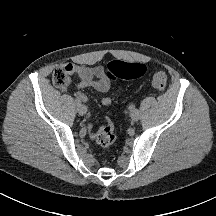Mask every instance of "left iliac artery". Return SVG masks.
Instances as JSON below:
<instances>
[{
	"label": "left iliac artery",
	"instance_id": "44dca946",
	"mask_svg": "<svg viewBox=\"0 0 216 216\" xmlns=\"http://www.w3.org/2000/svg\"><path fill=\"white\" fill-rule=\"evenodd\" d=\"M128 108H129L130 111H133V110L135 109V105H134V104H131V105H129Z\"/></svg>",
	"mask_w": 216,
	"mask_h": 216
}]
</instances>
